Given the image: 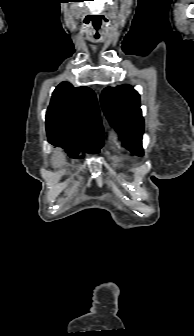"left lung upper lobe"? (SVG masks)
<instances>
[{"instance_id":"1","label":"left lung upper lobe","mask_w":194,"mask_h":336,"mask_svg":"<svg viewBox=\"0 0 194 336\" xmlns=\"http://www.w3.org/2000/svg\"><path fill=\"white\" fill-rule=\"evenodd\" d=\"M101 105L112 127L121 132L123 144L142 155L144 119L139 94L129 85L107 87L102 92Z\"/></svg>"}]
</instances>
